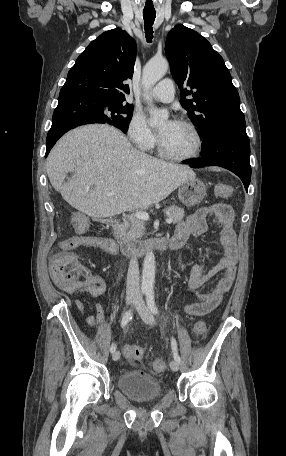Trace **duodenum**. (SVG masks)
Here are the masks:
<instances>
[{
	"label": "duodenum",
	"mask_w": 286,
	"mask_h": 456,
	"mask_svg": "<svg viewBox=\"0 0 286 456\" xmlns=\"http://www.w3.org/2000/svg\"><path fill=\"white\" fill-rule=\"evenodd\" d=\"M112 236L121 252L129 255H145L151 251L175 250L183 247L186 239L181 235L140 242H129L122 238L120 225L115 220L108 221Z\"/></svg>",
	"instance_id": "duodenum-1"
}]
</instances>
